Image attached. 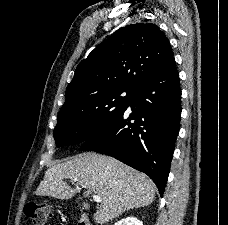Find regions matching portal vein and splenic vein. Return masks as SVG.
<instances>
[{
	"instance_id": "portal-vein-and-splenic-vein-1",
	"label": "portal vein and splenic vein",
	"mask_w": 228,
	"mask_h": 225,
	"mask_svg": "<svg viewBox=\"0 0 228 225\" xmlns=\"http://www.w3.org/2000/svg\"><path fill=\"white\" fill-rule=\"evenodd\" d=\"M73 181H77V179H73ZM93 201H95V203H101V197H97V195H94Z\"/></svg>"
}]
</instances>
